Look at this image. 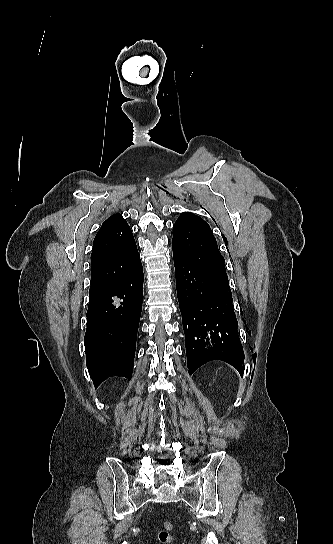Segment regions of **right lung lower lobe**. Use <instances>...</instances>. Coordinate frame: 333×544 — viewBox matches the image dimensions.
<instances>
[{
    "label": "right lung lower lobe",
    "instance_id": "right-lung-lower-lobe-1",
    "mask_svg": "<svg viewBox=\"0 0 333 544\" xmlns=\"http://www.w3.org/2000/svg\"><path fill=\"white\" fill-rule=\"evenodd\" d=\"M141 261L113 285L89 294L86 363L95 388L110 376L131 377L142 310Z\"/></svg>",
    "mask_w": 333,
    "mask_h": 544
}]
</instances>
